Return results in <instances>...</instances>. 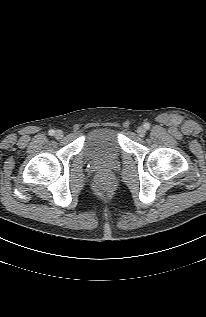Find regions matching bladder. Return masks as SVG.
<instances>
[{
    "label": "bladder",
    "instance_id": "bladder-1",
    "mask_svg": "<svg viewBox=\"0 0 206 317\" xmlns=\"http://www.w3.org/2000/svg\"><path fill=\"white\" fill-rule=\"evenodd\" d=\"M120 155L119 135L114 127L97 126L86 134L82 149L85 161L114 162Z\"/></svg>",
    "mask_w": 206,
    "mask_h": 317
}]
</instances>
